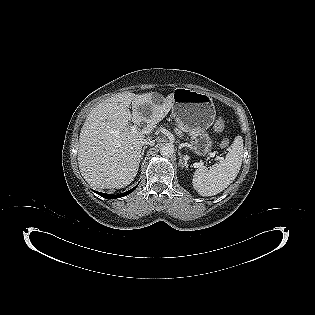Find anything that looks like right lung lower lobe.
Returning <instances> with one entry per match:
<instances>
[{
  "label": "right lung lower lobe",
  "instance_id": "obj_1",
  "mask_svg": "<svg viewBox=\"0 0 315 315\" xmlns=\"http://www.w3.org/2000/svg\"><path fill=\"white\" fill-rule=\"evenodd\" d=\"M136 187L137 186H135L134 188L130 189L129 191H126V192L121 193L119 195L105 194V193H100V192H96V193L99 194L100 196L106 198V199H115V198L123 197V196L130 194L134 189H136Z\"/></svg>",
  "mask_w": 315,
  "mask_h": 315
}]
</instances>
